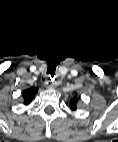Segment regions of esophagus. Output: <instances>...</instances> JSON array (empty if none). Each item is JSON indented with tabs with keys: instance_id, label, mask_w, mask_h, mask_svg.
<instances>
[{
	"instance_id": "1",
	"label": "esophagus",
	"mask_w": 118,
	"mask_h": 142,
	"mask_svg": "<svg viewBox=\"0 0 118 142\" xmlns=\"http://www.w3.org/2000/svg\"><path fill=\"white\" fill-rule=\"evenodd\" d=\"M45 85L48 87V88H53L57 85V82L51 78V76L49 78H47L46 82H45Z\"/></svg>"
}]
</instances>
